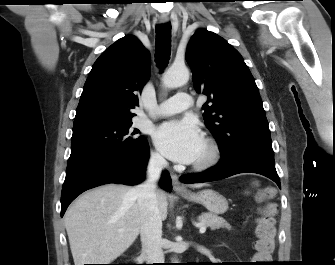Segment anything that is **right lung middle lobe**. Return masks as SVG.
Wrapping results in <instances>:
<instances>
[{
    "instance_id": "1",
    "label": "right lung middle lobe",
    "mask_w": 335,
    "mask_h": 265,
    "mask_svg": "<svg viewBox=\"0 0 335 265\" xmlns=\"http://www.w3.org/2000/svg\"><path fill=\"white\" fill-rule=\"evenodd\" d=\"M132 121L101 122L73 127L69 160L88 154H124L137 152L146 143L131 128Z\"/></svg>"
}]
</instances>
